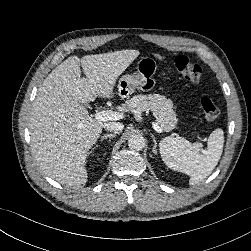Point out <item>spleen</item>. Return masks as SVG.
I'll return each mask as SVG.
<instances>
[{
    "instance_id": "obj_1",
    "label": "spleen",
    "mask_w": 251,
    "mask_h": 251,
    "mask_svg": "<svg viewBox=\"0 0 251 251\" xmlns=\"http://www.w3.org/2000/svg\"><path fill=\"white\" fill-rule=\"evenodd\" d=\"M224 132L214 130L207 142V150L199 153L201 144H191L182 137H165L159 143L163 162L171 169L189 175L191 185L209 176L218 164L223 152Z\"/></svg>"
}]
</instances>
